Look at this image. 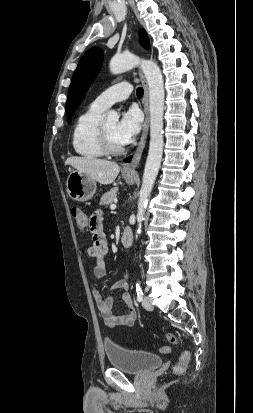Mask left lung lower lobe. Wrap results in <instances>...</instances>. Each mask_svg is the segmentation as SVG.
Segmentation results:
<instances>
[{
  "mask_svg": "<svg viewBox=\"0 0 253 413\" xmlns=\"http://www.w3.org/2000/svg\"><path fill=\"white\" fill-rule=\"evenodd\" d=\"M131 159V157L126 158L124 161L128 162Z\"/></svg>",
  "mask_w": 253,
  "mask_h": 413,
  "instance_id": "0a47b994",
  "label": "left lung lower lobe"
}]
</instances>
